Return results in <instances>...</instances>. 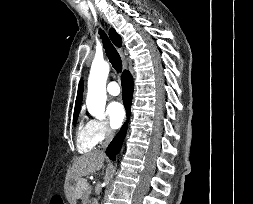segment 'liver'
I'll return each instance as SVG.
<instances>
[{"mask_svg":"<svg viewBox=\"0 0 253 204\" xmlns=\"http://www.w3.org/2000/svg\"><path fill=\"white\" fill-rule=\"evenodd\" d=\"M106 159V156L101 151H91L74 160L72 167L67 171L65 191L68 200L71 204H75V190L71 182L79 180L83 176L99 171Z\"/></svg>","mask_w":253,"mask_h":204,"instance_id":"liver-1","label":"liver"}]
</instances>
